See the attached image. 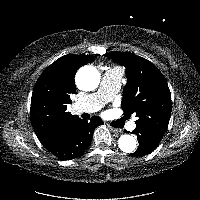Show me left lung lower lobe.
<instances>
[{
    "mask_svg": "<svg viewBox=\"0 0 200 200\" xmlns=\"http://www.w3.org/2000/svg\"><path fill=\"white\" fill-rule=\"evenodd\" d=\"M137 135L139 146L131 156H144L155 150L162 139V135L145 127L136 126L133 131Z\"/></svg>",
    "mask_w": 200,
    "mask_h": 200,
    "instance_id": "0a47b994",
    "label": "left lung lower lobe"
}]
</instances>
